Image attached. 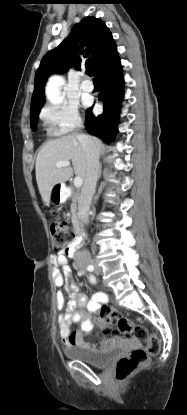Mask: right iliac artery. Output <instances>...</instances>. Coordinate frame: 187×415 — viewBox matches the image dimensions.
<instances>
[{"mask_svg": "<svg viewBox=\"0 0 187 415\" xmlns=\"http://www.w3.org/2000/svg\"><path fill=\"white\" fill-rule=\"evenodd\" d=\"M87 269H88L89 271H93V270H94V267H93L92 265H89Z\"/></svg>", "mask_w": 187, "mask_h": 415, "instance_id": "right-iliac-artery-1", "label": "right iliac artery"}]
</instances>
